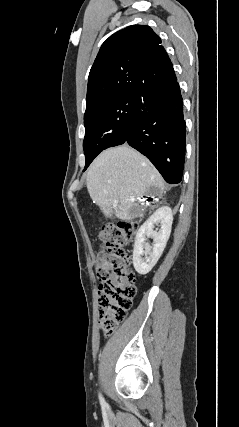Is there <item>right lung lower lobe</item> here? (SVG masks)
Returning <instances> with one entry per match:
<instances>
[{"instance_id":"1","label":"right lung lower lobe","mask_w":239,"mask_h":427,"mask_svg":"<svg viewBox=\"0 0 239 427\" xmlns=\"http://www.w3.org/2000/svg\"><path fill=\"white\" fill-rule=\"evenodd\" d=\"M124 143L145 155L166 182H181L186 127L177 79L152 87L139 96Z\"/></svg>"}]
</instances>
